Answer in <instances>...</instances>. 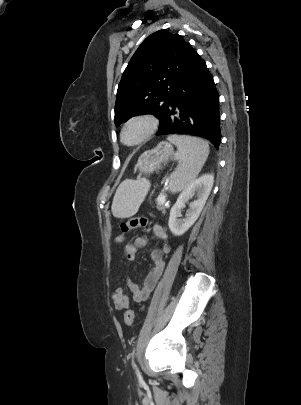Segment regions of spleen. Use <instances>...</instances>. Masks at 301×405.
Listing matches in <instances>:
<instances>
[{"label": "spleen", "mask_w": 301, "mask_h": 405, "mask_svg": "<svg viewBox=\"0 0 301 405\" xmlns=\"http://www.w3.org/2000/svg\"><path fill=\"white\" fill-rule=\"evenodd\" d=\"M167 139L177 147L174 160H178L179 165L170 176L169 182L170 190L175 193L184 190L196 179L209 155V145L206 141L191 136L172 135ZM149 186L145 179L124 180L113 199V215L127 218L134 214Z\"/></svg>", "instance_id": "3e777b00"}]
</instances>
